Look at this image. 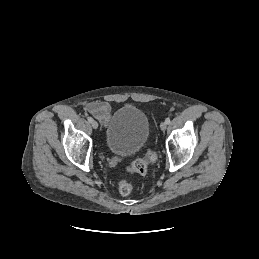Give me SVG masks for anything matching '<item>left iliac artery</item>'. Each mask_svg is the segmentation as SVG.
I'll list each match as a JSON object with an SVG mask.
<instances>
[{"label":"left iliac artery","mask_w":259,"mask_h":259,"mask_svg":"<svg viewBox=\"0 0 259 259\" xmlns=\"http://www.w3.org/2000/svg\"><path fill=\"white\" fill-rule=\"evenodd\" d=\"M165 122H166L167 124H170L171 120H170L169 118H167V119L165 120Z\"/></svg>","instance_id":"44dca946"}]
</instances>
